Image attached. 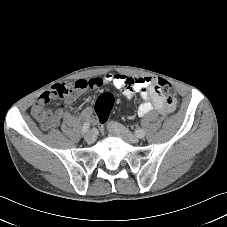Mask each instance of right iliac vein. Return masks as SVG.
Here are the masks:
<instances>
[{
  "label": "right iliac vein",
  "instance_id": "63e3f726",
  "mask_svg": "<svg viewBox=\"0 0 227 227\" xmlns=\"http://www.w3.org/2000/svg\"><path fill=\"white\" fill-rule=\"evenodd\" d=\"M84 138L87 143H93L95 141V135H94L93 131H88L85 134Z\"/></svg>",
  "mask_w": 227,
  "mask_h": 227
}]
</instances>
